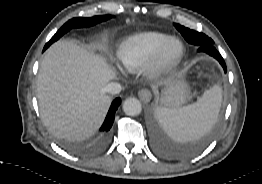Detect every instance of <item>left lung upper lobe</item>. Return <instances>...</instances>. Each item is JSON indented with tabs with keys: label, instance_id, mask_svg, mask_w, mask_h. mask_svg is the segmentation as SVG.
<instances>
[{
	"label": "left lung upper lobe",
	"instance_id": "5c2ea615",
	"mask_svg": "<svg viewBox=\"0 0 262 184\" xmlns=\"http://www.w3.org/2000/svg\"><path fill=\"white\" fill-rule=\"evenodd\" d=\"M187 42L199 46L214 44L213 40L203 33L191 30L179 24H174Z\"/></svg>",
	"mask_w": 262,
	"mask_h": 184
}]
</instances>
